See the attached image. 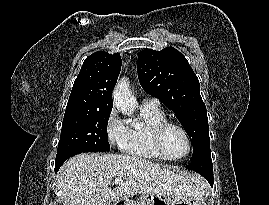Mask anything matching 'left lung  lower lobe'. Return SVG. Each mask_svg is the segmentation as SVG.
Instances as JSON below:
<instances>
[{"mask_svg": "<svg viewBox=\"0 0 269 205\" xmlns=\"http://www.w3.org/2000/svg\"><path fill=\"white\" fill-rule=\"evenodd\" d=\"M186 169L199 173L208 180L211 186H213V165L210 151L192 161Z\"/></svg>", "mask_w": 269, "mask_h": 205, "instance_id": "left-lung-lower-lobe-1", "label": "left lung lower lobe"}]
</instances>
